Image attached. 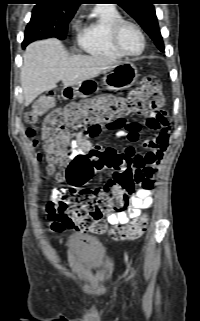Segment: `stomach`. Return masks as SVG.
I'll return each instance as SVG.
<instances>
[{"instance_id": "1", "label": "stomach", "mask_w": 200, "mask_h": 321, "mask_svg": "<svg viewBox=\"0 0 200 321\" xmlns=\"http://www.w3.org/2000/svg\"><path fill=\"white\" fill-rule=\"evenodd\" d=\"M137 78L136 66L131 62H122L104 71L103 84L110 90L125 89L131 87L137 81ZM97 90V83L90 79L74 86L64 87L62 96L65 99L87 97Z\"/></svg>"}]
</instances>
